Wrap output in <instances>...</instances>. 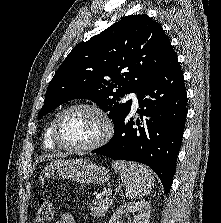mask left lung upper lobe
Returning a JSON list of instances; mask_svg holds the SVG:
<instances>
[{"label":"left lung upper lobe","instance_id":"left-lung-upper-lobe-1","mask_svg":"<svg viewBox=\"0 0 221 223\" xmlns=\"http://www.w3.org/2000/svg\"><path fill=\"white\" fill-rule=\"evenodd\" d=\"M169 46L161 25L148 15L123 17L72 49L49 83L38 118L69 100L84 98L108 112L116 130L132 103L122 102V97L138 93L149 82Z\"/></svg>","mask_w":221,"mask_h":223}]
</instances>
